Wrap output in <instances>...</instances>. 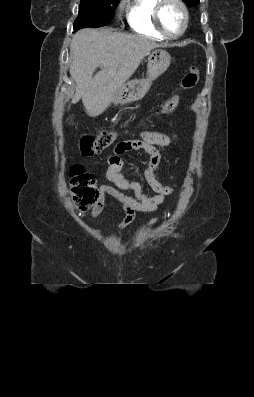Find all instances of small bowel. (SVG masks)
Instances as JSON below:
<instances>
[{
	"mask_svg": "<svg viewBox=\"0 0 254 397\" xmlns=\"http://www.w3.org/2000/svg\"><path fill=\"white\" fill-rule=\"evenodd\" d=\"M176 137V135H173ZM172 143V137L161 132H154L147 127L140 133V139L126 140L119 142L113 153L106 157L108 168L105 172L107 183L99 189V197L89 217H96L104 206V197L109 195L114 198L125 212L123 220L116 225H106L109 229L120 232L124 230L135 218L138 212H154L162 204L165 198L174 191L173 186L163 185L155 176L161 155L156 146L167 147ZM144 151L148 154L149 160L144 171V178L150 188L155 192L154 196H147L140 185L135 181L127 180L121 170L124 163L121 155L130 151ZM124 191H131L133 196H128ZM157 221L152 218L147 227L151 228Z\"/></svg>",
	"mask_w": 254,
	"mask_h": 397,
	"instance_id": "obj_1",
	"label": "small bowel"
}]
</instances>
